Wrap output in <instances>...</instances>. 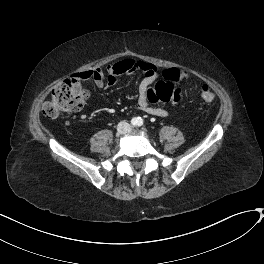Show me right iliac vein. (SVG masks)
<instances>
[{
    "label": "right iliac vein",
    "instance_id": "63e3f726",
    "mask_svg": "<svg viewBox=\"0 0 264 264\" xmlns=\"http://www.w3.org/2000/svg\"><path fill=\"white\" fill-rule=\"evenodd\" d=\"M124 131H125V130L123 129L121 132L124 133Z\"/></svg>",
    "mask_w": 264,
    "mask_h": 264
}]
</instances>
